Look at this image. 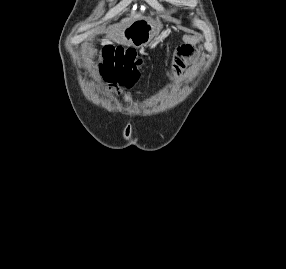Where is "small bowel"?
Here are the masks:
<instances>
[{
	"instance_id": "1",
	"label": "small bowel",
	"mask_w": 286,
	"mask_h": 269,
	"mask_svg": "<svg viewBox=\"0 0 286 269\" xmlns=\"http://www.w3.org/2000/svg\"><path fill=\"white\" fill-rule=\"evenodd\" d=\"M198 58H200V53L195 48V41L188 39L174 54L172 65L167 75L169 81L177 86L191 78L194 74V68L190 65Z\"/></svg>"
}]
</instances>
